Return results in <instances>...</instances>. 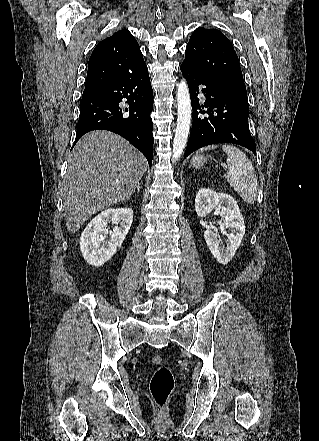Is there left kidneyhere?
I'll return each instance as SVG.
<instances>
[{
    "label": "left kidney",
    "instance_id": "left-kidney-1",
    "mask_svg": "<svg viewBox=\"0 0 319 441\" xmlns=\"http://www.w3.org/2000/svg\"><path fill=\"white\" fill-rule=\"evenodd\" d=\"M195 209L199 217H205L213 209L220 211L222 220L219 226L222 233L228 237L226 248L220 246L221 241L217 233L210 228L204 232V238L216 260L220 264H227L240 246L246 228L236 200L228 194L202 188L196 195Z\"/></svg>",
    "mask_w": 319,
    "mask_h": 441
}]
</instances>
